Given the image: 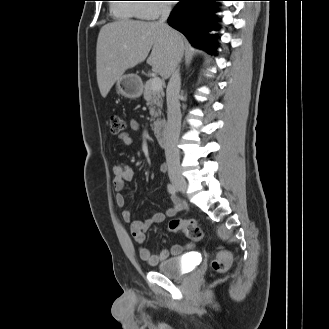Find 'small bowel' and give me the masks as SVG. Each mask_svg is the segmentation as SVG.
<instances>
[{
    "label": "small bowel",
    "mask_w": 329,
    "mask_h": 329,
    "mask_svg": "<svg viewBox=\"0 0 329 329\" xmlns=\"http://www.w3.org/2000/svg\"><path fill=\"white\" fill-rule=\"evenodd\" d=\"M133 129H138L139 125L136 122H131ZM119 141L124 145H130L132 143V136L129 132H124L118 136ZM160 171L165 173L167 166L165 164L160 165ZM113 174V187L116 191L115 202L122 208V219L129 223V229L132 237L138 244V255L140 259L146 261L150 265H156L159 261L168 258L170 255H178L186 249H191L192 245L182 246L175 244L170 250L161 249L157 254H152L143 243L145 241V232L151 228L152 225L163 222L166 218L175 217L182 210V203L176 196H171L172 206L166 210L165 213L152 212L150 217L142 220H132L131 211L124 208L126 204V197L123 194V189L126 182L131 181L134 178L135 171L125 165L124 163H117L112 167Z\"/></svg>",
    "instance_id": "obj_1"
}]
</instances>
